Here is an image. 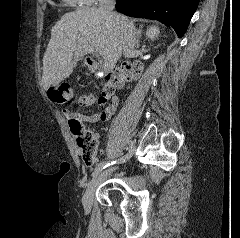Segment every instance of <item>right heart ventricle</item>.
<instances>
[{
  "label": "right heart ventricle",
  "mask_w": 240,
  "mask_h": 238,
  "mask_svg": "<svg viewBox=\"0 0 240 238\" xmlns=\"http://www.w3.org/2000/svg\"><path fill=\"white\" fill-rule=\"evenodd\" d=\"M68 4H73V5H81L83 4L82 0H63Z\"/></svg>",
  "instance_id": "obj_1"
}]
</instances>
